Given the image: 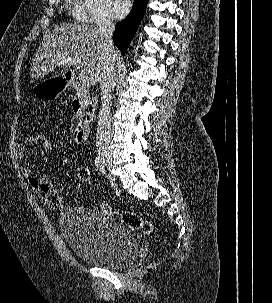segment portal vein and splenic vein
I'll list each match as a JSON object with an SVG mask.
<instances>
[{"instance_id":"portal-vein-and-splenic-vein-1","label":"portal vein and splenic vein","mask_w":272,"mask_h":303,"mask_svg":"<svg viewBox=\"0 0 272 303\" xmlns=\"http://www.w3.org/2000/svg\"><path fill=\"white\" fill-rule=\"evenodd\" d=\"M65 62H71L73 64H77L78 63V60H75V59H69V60H66V61H63L62 63L64 64ZM79 81L80 83H82L83 85H87L90 81V78L89 76L87 75H79Z\"/></svg>"}]
</instances>
